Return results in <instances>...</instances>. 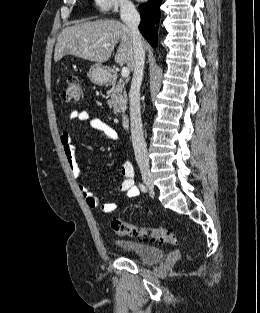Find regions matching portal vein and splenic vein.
Masks as SVG:
<instances>
[{"label": "portal vein and splenic vein", "instance_id": "obj_1", "mask_svg": "<svg viewBox=\"0 0 260 313\" xmlns=\"http://www.w3.org/2000/svg\"><path fill=\"white\" fill-rule=\"evenodd\" d=\"M130 74V71L127 67H123L122 70H121V75L123 78H126L128 77Z\"/></svg>", "mask_w": 260, "mask_h": 313}]
</instances>
